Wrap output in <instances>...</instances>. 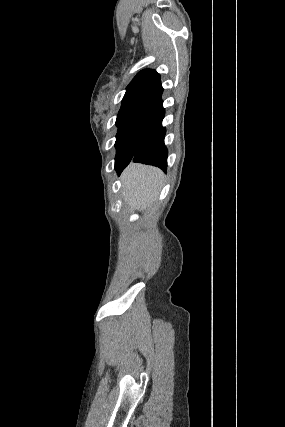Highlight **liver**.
<instances>
[{
	"instance_id": "6515ba94",
	"label": "liver",
	"mask_w": 285,
	"mask_h": 427,
	"mask_svg": "<svg viewBox=\"0 0 285 427\" xmlns=\"http://www.w3.org/2000/svg\"><path fill=\"white\" fill-rule=\"evenodd\" d=\"M163 178V172L156 167L130 163L121 176L124 202L131 209L148 210L157 199Z\"/></svg>"
}]
</instances>
